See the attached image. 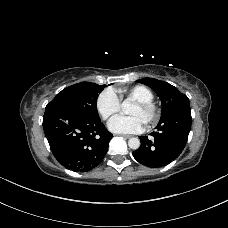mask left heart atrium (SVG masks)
I'll return each instance as SVG.
<instances>
[{
  "instance_id": "39dd6f15",
  "label": "left heart atrium",
  "mask_w": 228,
  "mask_h": 228,
  "mask_svg": "<svg viewBox=\"0 0 228 228\" xmlns=\"http://www.w3.org/2000/svg\"><path fill=\"white\" fill-rule=\"evenodd\" d=\"M108 128L114 133H139L145 128V122L137 115H117L110 119Z\"/></svg>"
}]
</instances>
